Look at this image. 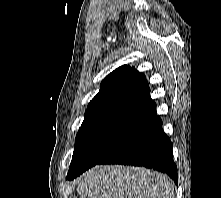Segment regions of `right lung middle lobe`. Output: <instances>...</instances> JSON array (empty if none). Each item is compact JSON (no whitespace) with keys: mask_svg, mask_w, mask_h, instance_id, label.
Returning a JSON list of instances; mask_svg holds the SVG:
<instances>
[{"mask_svg":"<svg viewBox=\"0 0 221 198\" xmlns=\"http://www.w3.org/2000/svg\"><path fill=\"white\" fill-rule=\"evenodd\" d=\"M130 120H101L79 129L66 179L72 180L128 140L142 125Z\"/></svg>","mask_w":221,"mask_h":198,"instance_id":"dd1d6c3e","label":"right lung middle lobe"}]
</instances>
